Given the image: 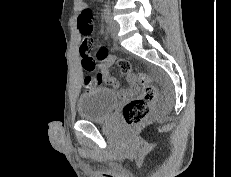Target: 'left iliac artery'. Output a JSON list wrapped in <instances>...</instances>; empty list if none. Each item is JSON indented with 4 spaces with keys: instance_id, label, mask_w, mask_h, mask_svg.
<instances>
[{
    "instance_id": "obj_1",
    "label": "left iliac artery",
    "mask_w": 231,
    "mask_h": 177,
    "mask_svg": "<svg viewBox=\"0 0 231 177\" xmlns=\"http://www.w3.org/2000/svg\"><path fill=\"white\" fill-rule=\"evenodd\" d=\"M103 17H104V20L106 21V23H109V20L111 17V10H110V7L108 5H106L104 10H103Z\"/></svg>"
}]
</instances>
